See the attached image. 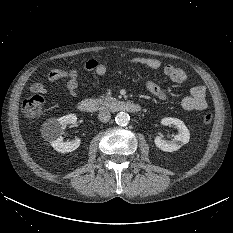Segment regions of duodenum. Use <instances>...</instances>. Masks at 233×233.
Returning <instances> with one entry per match:
<instances>
[{
  "label": "duodenum",
  "mask_w": 233,
  "mask_h": 233,
  "mask_svg": "<svg viewBox=\"0 0 233 233\" xmlns=\"http://www.w3.org/2000/svg\"><path fill=\"white\" fill-rule=\"evenodd\" d=\"M78 109L82 112L108 110L136 113L141 110V107L139 104L121 99H83L78 103Z\"/></svg>",
  "instance_id": "obj_1"
}]
</instances>
